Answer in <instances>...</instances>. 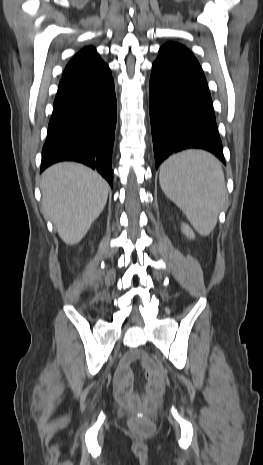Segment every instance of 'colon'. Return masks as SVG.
I'll use <instances>...</instances> for the list:
<instances>
[{
	"label": "colon",
	"mask_w": 263,
	"mask_h": 465,
	"mask_svg": "<svg viewBox=\"0 0 263 465\" xmlns=\"http://www.w3.org/2000/svg\"><path fill=\"white\" fill-rule=\"evenodd\" d=\"M160 393V384L148 383L147 395L139 397L128 404L134 412V416L130 419V425L133 429L142 433L151 431L152 424L147 415L155 411L156 400Z\"/></svg>",
	"instance_id": "colon-1"
}]
</instances>
